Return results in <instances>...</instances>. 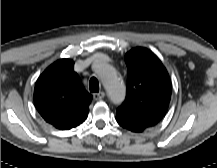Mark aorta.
<instances>
[{
    "label": "aorta",
    "mask_w": 217,
    "mask_h": 168,
    "mask_svg": "<svg viewBox=\"0 0 217 168\" xmlns=\"http://www.w3.org/2000/svg\"><path fill=\"white\" fill-rule=\"evenodd\" d=\"M97 72L105 86L110 100L121 103L125 98V86L120 80L116 70L104 61H97Z\"/></svg>",
    "instance_id": "obj_1"
}]
</instances>
